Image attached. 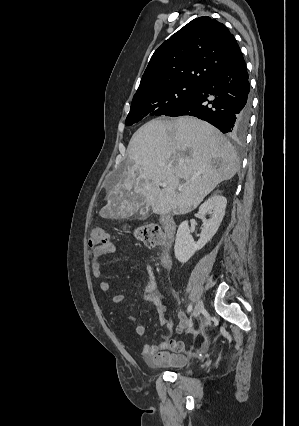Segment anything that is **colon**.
Returning <instances> with one entry per match:
<instances>
[{"mask_svg": "<svg viewBox=\"0 0 299 426\" xmlns=\"http://www.w3.org/2000/svg\"><path fill=\"white\" fill-rule=\"evenodd\" d=\"M136 237L149 247L161 245L165 241L164 234L157 224H148L136 231ZM108 234L101 226H93L89 231L88 244L92 249L106 245Z\"/></svg>", "mask_w": 299, "mask_h": 426, "instance_id": "obj_1", "label": "colon"}]
</instances>
